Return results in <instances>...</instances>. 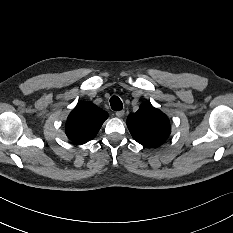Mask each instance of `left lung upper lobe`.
I'll list each match as a JSON object with an SVG mask.
<instances>
[{
  "instance_id": "left-lung-upper-lobe-1",
  "label": "left lung upper lobe",
  "mask_w": 233,
  "mask_h": 233,
  "mask_svg": "<svg viewBox=\"0 0 233 233\" xmlns=\"http://www.w3.org/2000/svg\"><path fill=\"white\" fill-rule=\"evenodd\" d=\"M127 126L133 138L146 147L162 145L171 132L167 116L146 102L128 116Z\"/></svg>"
}]
</instances>
